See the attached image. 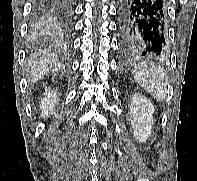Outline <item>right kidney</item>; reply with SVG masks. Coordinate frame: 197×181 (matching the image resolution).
<instances>
[{
    "mask_svg": "<svg viewBox=\"0 0 197 181\" xmlns=\"http://www.w3.org/2000/svg\"><path fill=\"white\" fill-rule=\"evenodd\" d=\"M44 97L41 99L40 108L42 110L41 117L45 118L46 116L54 114L55 104L58 102L57 90L48 89L43 94Z\"/></svg>",
    "mask_w": 197,
    "mask_h": 181,
    "instance_id": "1",
    "label": "right kidney"
}]
</instances>
